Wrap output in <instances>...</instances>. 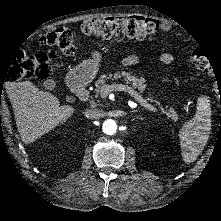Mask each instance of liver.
I'll return each mask as SVG.
<instances>
[{
    "instance_id": "6515ba94",
    "label": "liver",
    "mask_w": 221,
    "mask_h": 221,
    "mask_svg": "<svg viewBox=\"0 0 221 221\" xmlns=\"http://www.w3.org/2000/svg\"><path fill=\"white\" fill-rule=\"evenodd\" d=\"M7 94L18 132L25 144L33 143L66 122L74 112L71 106H60L54 95L28 81L14 84L7 90Z\"/></svg>"
}]
</instances>
